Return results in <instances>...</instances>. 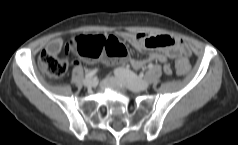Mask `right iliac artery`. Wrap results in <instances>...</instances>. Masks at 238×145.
I'll return each instance as SVG.
<instances>
[{"mask_svg": "<svg viewBox=\"0 0 238 145\" xmlns=\"http://www.w3.org/2000/svg\"><path fill=\"white\" fill-rule=\"evenodd\" d=\"M96 72H97V69L88 71V72L85 73V77L86 78L92 77Z\"/></svg>", "mask_w": 238, "mask_h": 145, "instance_id": "1", "label": "right iliac artery"}]
</instances>
